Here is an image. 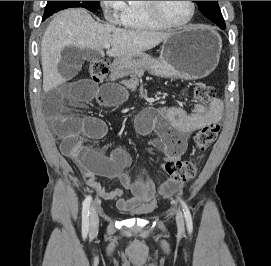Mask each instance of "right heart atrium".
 I'll list each match as a JSON object with an SVG mask.
<instances>
[{
    "instance_id": "right-heart-atrium-1",
    "label": "right heart atrium",
    "mask_w": 271,
    "mask_h": 266,
    "mask_svg": "<svg viewBox=\"0 0 271 266\" xmlns=\"http://www.w3.org/2000/svg\"><path fill=\"white\" fill-rule=\"evenodd\" d=\"M106 20L113 24L122 22L126 10L125 1H100Z\"/></svg>"
}]
</instances>
